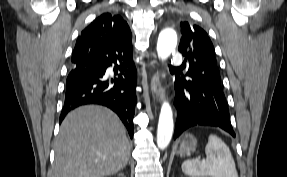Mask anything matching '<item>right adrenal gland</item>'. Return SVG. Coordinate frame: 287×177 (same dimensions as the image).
<instances>
[{"label":"right adrenal gland","mask_w":287,"mask_h":177,"mask_svg":"<svg viewBox=\"0 0 287 177\" xmlns=\"http://www.w3.org/2000/svg\"><path fill=\"white\" fill-rule=\"evenodd\" d=\"M119 176L123 177V174H122V173H120V174H119Z\"/></svg>","instance_id":"obj_1"}]
</instances>
